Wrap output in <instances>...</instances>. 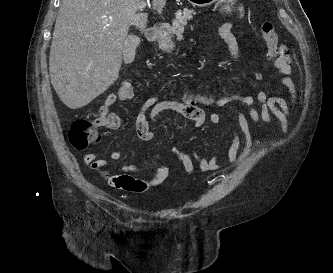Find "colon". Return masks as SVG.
Returning a JSON list of instances; mask_svg holds the SVG:
<instances>
[{
  "label": "colon",
  "mask_w": 333,
  "mask_h": 273,
  "mask_svg": "<svg viewBox=\"0 0 333 273\" xmlns=\"http://www.w3.org/2000/svg\"><path fill=\"white\" fill-rule=\"evenodd\" d=\"M260 30L267 45V60L269 63H273L281 54V45L278 41V35L273 23L270 21L263 22ZM120 91L126 96H132L131 84L125 82L120 88ZM182 102L193 106L202 105L215 108H225L230 104L228 95H213L207 93L184 94ZM107 123L108 120L101 116H96L94 119L75 120L68 132L71 145L77 150H84L88 146L97 143L101 137L99 129L106 126ZM92 167L106 176V174L101 171L102 168L97 162L93 163Z\"/></svg>",
  "instance_id": "colon-1"
}]
</instances>
